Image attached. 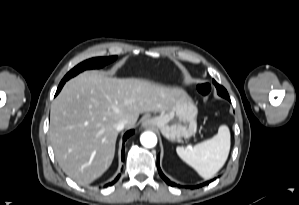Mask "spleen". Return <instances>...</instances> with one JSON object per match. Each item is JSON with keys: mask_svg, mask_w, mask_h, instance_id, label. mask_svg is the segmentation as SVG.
Listing matches in <instances>:
<instances>
[{"mask_svg": "<svg viewBox=\"0 0 299 205\" xmlns=\"http://www.w3.org/2000/svg\"><path fill=\"white\" fill-rule=\"evenodd\" d=\"M230 151V131L221 125L211 139L194 147H177L178 156L204 179L212 178L225 164Z\"/></svg>", "mask_w": 299, "mask_h": 205, "instance_id": "1", "label": "spleen"}]
</instances>
